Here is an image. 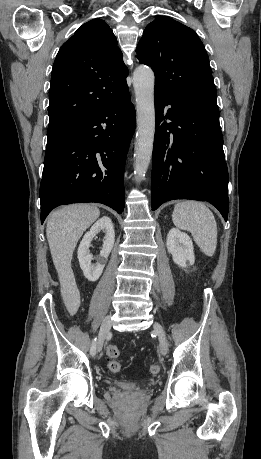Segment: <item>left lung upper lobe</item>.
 Masks as SVG:
<instances>
[{
	"label": "left lung upper lobe",
	"instance_id": "left-lung-upper-lobe-1",
	"mask_svg": "<svg viewBox=\"0 0 261 459\" xmlns=\"http://www.w3.org/2000/svg\"><path fill=\"white\" fill-rule=\"evenodd\" d=\"M136 52L155 73V91L187 104L218 108L208 55L191 28L158 16L147 25Z\"/></svg>",
	"mask_w": 261,
	"mask_h": 459
}]
</instances>
